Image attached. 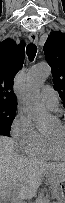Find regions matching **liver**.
<instances>
[{"mask_svg": "<svg viewBox=\"0 0 65 203\" xmlns=\"http://www.w3.org/2000/svg\"><path fill=\"white\" fill-rule=\"evenodd\" d=\"M64 172L63 164L47 163L19 155L11 138L0 137V196L5 199L17 196L20 201L36 193L43 177ZM19 200L13 201L17 203Z\"/></svg>", "mask_w": 65, "mask_h": 203, "instance_id": "obj_1", "label": "liver"}]
</instances>
